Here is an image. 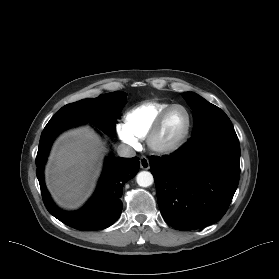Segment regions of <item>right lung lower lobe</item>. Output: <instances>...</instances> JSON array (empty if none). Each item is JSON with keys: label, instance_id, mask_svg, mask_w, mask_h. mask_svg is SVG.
Listing matches in <instances>:
<instances>
[{"label": "right lung lower lobe", "instance_id": "98d812e1", "mask_svg": "<svg viewBox=\"0 0 279 279\" xmlns=\"http://www.w3.org/2000/svg\"><path fill=\"white\" fill-rule=\"evenodd\" d=\"M79 124L81 122L66 123L43 130L36 157V174L44 204L54 217L78 230H101L111 226L118 220L122 211L120 197L122 196L123 186L137 174L140 166L139 158L116 159L108 156L98 188L90 201L76 212L70 213L60 210L51 200L45 187L43 168L54 138L64 129Z\"/></svg>", "mask_w": 279, "mask_h": 279}]
</instances>
